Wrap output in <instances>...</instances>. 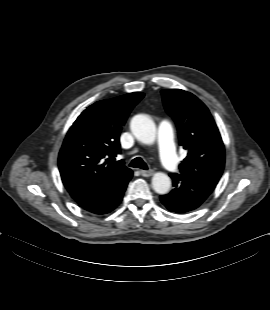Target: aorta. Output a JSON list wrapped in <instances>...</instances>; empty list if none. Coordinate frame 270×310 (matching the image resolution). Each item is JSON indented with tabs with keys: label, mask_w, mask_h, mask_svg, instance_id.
Instances as JSON below:
<instances>
[{
	"label": "aorta",
	"mask_w": 270,
	"mask_h": 310,
	"mask_svg": "<svg viewBox=\"0 0 270 310\" xmlns=\"http://www.w3.org/2000/svg\"><path fill=\"white\" fill-rule=\"evenodd\" d=\"M130 129L134 136L145 144H152L155 141L156 126L153 120L147 115H135L131 119ZM152 187L158 194H167L171 188V179L167 174L157 172L152 177Z\"/></svg>",
	"instance_id": "obj_1"
}]
</instances>
